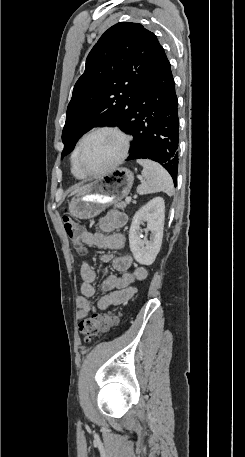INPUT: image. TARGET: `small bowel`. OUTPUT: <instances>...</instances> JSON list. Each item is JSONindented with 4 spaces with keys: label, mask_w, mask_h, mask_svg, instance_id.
<instances>
[{
    "label": "small bowel",
    "mask_w": 245,
    "mask_h": 457,
    "mask_svg": "<svg viewBox=\"0 0 245 457\" xmlns=\"http://www.w3.org/2000/svg\"><path fill=\"white\" fill-rule=\"evenodd\" d=\"M126 222L127 216L123 212L112 210L100 220V232L83 230L82 242L102 250L122 249L126 245V237L118 230L124 227ZM102 260L111 262L113 269L121 274L118 276L110 274L104 279L101 290L105 295L95 303L93 298L96 294V272L88 263L81 264V295L77 299L80 318L97 310H105L110 306L128 301L137 291L132 284L135 281L141 282L147 277L148 272L144 267L135 266L131 269L133 259L130 255L104 254Z\"/></svg>",
    "instance_id": "1"
}]
</instances>
